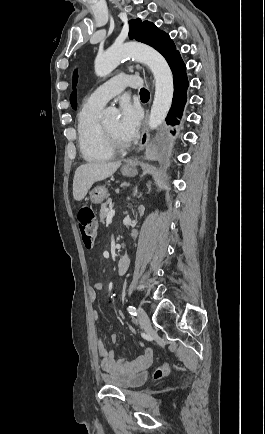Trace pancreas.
<instances>
[{
  "label": "pancreas",
  "mask_w": 265,
  "mask_h": 434,
  "mask_svg": "<svg viewBox=\"0 0 265 434\" xmlns=\"http://www.w3.org/2000/svg\"><path fill=\"white\" fill-rule=\"evenodd\" d=\"M109 212H110V208H107V202L106 204H102L100 208V214H99L100 222H102V224H104Z\"/></svg>",
  "instance_id": "1"
}]
</instances>
